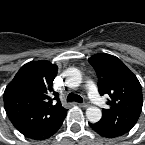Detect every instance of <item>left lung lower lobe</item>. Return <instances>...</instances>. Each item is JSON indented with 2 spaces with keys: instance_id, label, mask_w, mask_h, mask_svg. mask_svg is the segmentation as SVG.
Instances as JSON below:
<instances>
[{
  "instance_id": "obj_1",
  "label": "left lung lower lobe",
  "mask_w": 145,
  "mask_h": 145,
  "mask_svg": "<svg viewBox=\"0 0 145 145\" xmlns=\"http://www.w3.org/2000/svg\"><path fill=\"white\" fill-rule=\"evenodd\" d=\"M90 127L96 132L98 133L99 135L105 137V138H114V137H117V135L107 131V130H104L103 128L97 126L96 124H89Z\"/></svg>"
}]
</instances>
